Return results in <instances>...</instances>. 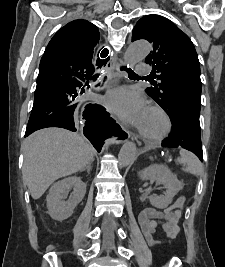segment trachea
Segmentation results:
<instances>
[{"label":"trachea","mask_w":225,"mask_h":267,"mask_svg":"<svg viewBox=\"0 0 225 267\" xmlns=\"http://www.w3.org/2000/svg\"><path fill=\"white\" fill-rule=\"evenodd\" d=\"M121 70H125L128 73L129 77H138V75L134 71H132L130 68L123 66L121 67Z\"/></svg>","instance_id":"3493384b"}]
</instances>
